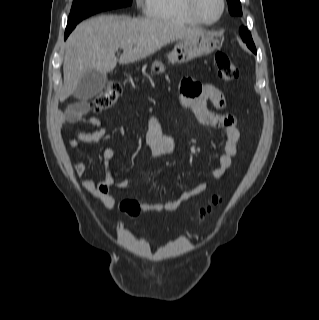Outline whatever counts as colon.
<instances>
[{
	"mask_svg": "<svg viewBox=\"0 0 319 320\" xmlns=\"http://www.w3.org/2000/svg\"><path fill=\"white\" fill-rule=\"evenodd\" d=\"M215 63L218 70V76L227 82L234 81L239 76L237 67L233 64L231 58L223 51H218L215 54ZM122 88L119 82L111 81L106 88L100 92L92 102L94 111H102L114 105L121 94ZM220 198L215 196L212 199L211 205L204 208L200 212V218L204 217L210 212L211 207L217 205ZM122 211L128 215L135 216L140 213V205L137 201L132 199L123 200L120 204Z\"/></svg>",
	"mask_w": 319,
	"mask_h": 320,
	"instance_id": "1",
	"label": "colon"
}]
</instances>
